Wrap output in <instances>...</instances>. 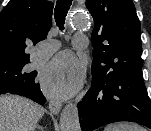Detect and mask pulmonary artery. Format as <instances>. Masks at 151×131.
Wrapping results in <instances>:
<instances>
[{"instance_id": "pulmonary-artery-1", "label": "pulmonary artery", "mask_w": 151, "mask_h": 131, "mask_svg": "<svg viewBox=\"0 0 151 131\" xmlns=\"http://www.w3.org/2000/svg\"><path fill=\"white\" fill-rule=\"evenodd\" d=\"M88 43L87 37L82 34H78L74 37L73 44L78 49H84L86 48ZM58 47V44L56 42H52L47 46L42 47L38 53L37 56L39 59H45L48 56H50Z\"/></svg>"}]
</instances>
